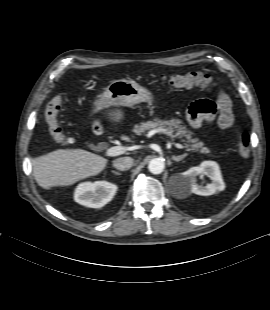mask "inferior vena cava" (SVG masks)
Masks as SVG:
<instances>
[{"mask_svg": "<svg viewBox=\"0 0 270 310\" xmlns=\"http://www.w3.org/2000/svg\"><path fill=\"white\" fill-rule=\"evenodd\" d=\"M132 165L133 159L131 157H121L113 161V166L120 171L128 170Z\"/></svg>", "mask_w": 270, "mask_h": 310, "instance_id": "inferior-vena-cava-1", "label": "inferior vena cava"}]
</instances>
